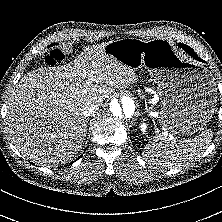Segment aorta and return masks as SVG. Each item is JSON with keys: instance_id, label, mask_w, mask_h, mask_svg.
<instances>
[{"instance_id": "aorta-1", "label": "aorta", "mask_w": 222, "mask_h": 222, "mask_svg": "<svg viewBox=\"0 0 222 222\" xmlns=\"http://www.w3.org/2000/svg\"><path fill=\"white\" fill-rule=\"evenodd\" d=\"M109 110L115 119L119 121L128 120L136 114V103L131 95L124 94L119 100H111Z\"/></svg>"}]
</instances>
